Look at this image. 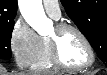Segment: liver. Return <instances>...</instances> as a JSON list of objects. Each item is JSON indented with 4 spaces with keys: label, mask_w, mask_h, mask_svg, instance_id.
Returning <instances> with one entry per match:
<instances>
[{
    "label": "liver",
    "mask_w": 107,
    "mask_h": 75,
    "mask_svg": "<svg viewBox=\"0 0 107 75\" xmlns=\"http://www.w3.org/2000/svg\"><path fill=\"white\" fill-rule=\"evenodd\" d=\"M0 75H8V74H7V72L4 69H1L0 70ZM15 75H39V74L20 72V73H17Z\"/></svg>",
    "instance_id": "liver-1"
}]
</instances>
